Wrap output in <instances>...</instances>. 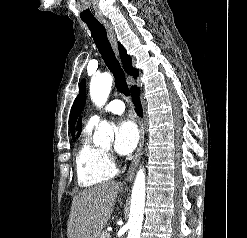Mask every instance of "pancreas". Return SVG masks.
Instances as JSON below:
<instances>
[{
  "mask_svg": "<svg viewBox=\"0 0 247 238\" xmlns=\"http://www.w3.org/2000/svg\"><path fill=\"white\" fill-rule=\"evenodd\" d=\"M100 238H111L110 233L107 231L102 232Z\"/></svg>",
  "mask_w": 247,
  "mask_h": 238,
  "instance_id": "obj_1",
  "label": "pancreas"
}]
</instances>
